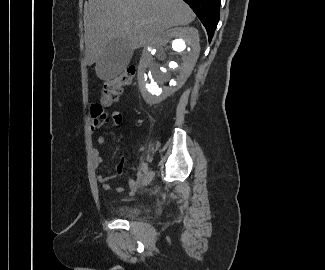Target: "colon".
<instances>
[{
    "mask_svg": "<svg viewBox=\"0 0 325 270\" xmlns=\"http://www.w3.org/2000/svg\"><path fill=\"white\" fill-rule=\"evenodd\" d=\"M135 74L136 69L131 66L128 67L120 76L105 81L103 85L101 104L107 107L115 103L122 94L123 87L131 83Z\"/></svg>",
    "mask_w": 325,
    "mask_h": 270,
    "instance_id": "obj_1",
    "label": "colon"
}]
</instances>
